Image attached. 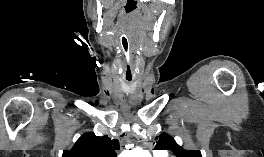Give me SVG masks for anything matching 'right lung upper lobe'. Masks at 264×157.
Here are the masks:
<instances>
[{
	"instance_id": "1",
	"label": "right lung upper lobe",
	"mask_w": 264,
	"mask_h": 157,
	"mask_svg": "<svg viewBox=\"0 0 264 157\" xmlns=\"http://www.w3.org/2000/svg\"><path fill=\"white\" fill-rule=\"evenodd\" d=\"M117 150L118 140L89 132L82 135L71 150H64L62 157H117Z\"/></svg>"
}]
</instances>
